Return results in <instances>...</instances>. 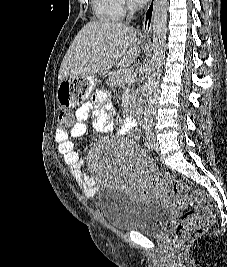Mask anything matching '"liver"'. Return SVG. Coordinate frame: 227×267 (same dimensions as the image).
<instances>
[{
  "mask_svg": "<svg viewBox=\"0 0 227 267\" xmlns=\"http://www.w3.org/2000/svg\"><path fill=\"white\" fill-rule=\"evenodd\" d=\"M137 31L124 23L91 21L74 38L58 74L63 77L94 76L116 66L126 69L140 55Z\"/></svg>",
  "mask_w": 227,
  "mask_h": 267,
  "instance_id": "liver-1",
  "label": "liver"
}]
</instances>
